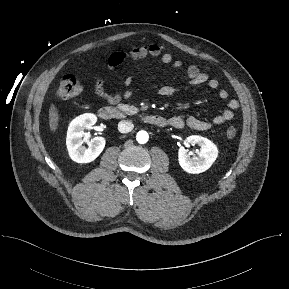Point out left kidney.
I'll return each mask as SVG.
<instances>
[{
  "label": "left kidney",
  "instance_id": "1",
  "mask_svg": "<svg viewBox=\"0 0 289 289\" xmlns=\"http://www.w3.org/2000/svg\"><path fill=\"white\" fill-rule=\"evenodd\" d=\"M185 144H197L200 151L197 156L191 157L184 147L178 152L179 165L184 171L190 174H199L208 170L218 156L216 145L207 138L199 135L189 136L185 140Z\"/></svg>",
  "mask_w": 289,
  "mask_h": 289
}]
</instances>
